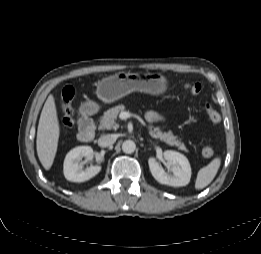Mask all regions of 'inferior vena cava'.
Segmentation results:
<instances>
[{
    "instance_id": "1",
    "label": "inferior vena cava",
    "mask_w": 261,
    "mask_h": 254,
    "mask_svg": "<svg viewBox=\"0 0 261 254\" xmlns=\"http://www.w3.org/2000/svg\"><path fill=\"white\" fill-rule=\"evenodd\" d=\"M117 136L115 134L102 135L98 139V145L101 147H107L115 143Z\"/></svg>"
}]
</instances>
